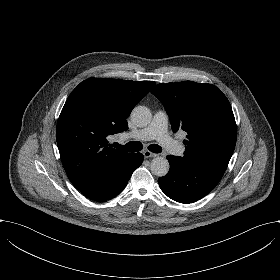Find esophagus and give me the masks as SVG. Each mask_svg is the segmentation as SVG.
<instances>
[{
	"label": "esophagus",
	"instance_id": "34e87169",
	"mask_svg": "<svg viewBox=\"0 0 280 280\" xmlns=\"http://www.w3.org/2000/svg\"><path fill=\"white\" fill-rule=\"evenodd\" d=\"M143 155L145 158H154L157 156V154L150 152L149 150L144 151Z\"/></svg>",
	"mask_w": 280,
	"mask_h": 280
}]
</instances>
